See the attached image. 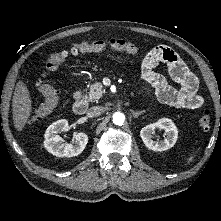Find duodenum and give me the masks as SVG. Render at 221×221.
Masks as SVG:
<instances>
[{
  "label": "duodenum",
  "mask_w": 221,
  "mask_h": 221,
  "mask_svg": "<svg viewBox=\"0 0 221 221\" xmlns=\"http://www.w3.org/2000/svg\"><path fill=\"white\" fill-rule=\"evenodd\" d=\"M88 109V102L80 91L74 93L73 110L76 114L82 115Z\"/></svg>",
  "instance_id": "410a0bca"
}]
</instances>
